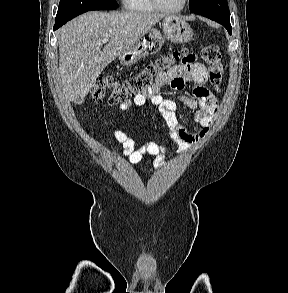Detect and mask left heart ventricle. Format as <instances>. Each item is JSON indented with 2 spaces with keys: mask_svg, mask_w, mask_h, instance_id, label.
I'll return each instance as SVG.
<instances>
[{
  "mask_svg": "<svg viewBox=\"0 0 288 293\" xmlns=\"http://www.w3.org/2000/svg\"><path fill=\"white\" fill-rule=\"evenodd\" d=\"M161 4L168 8H176L178 7L182 0H159Z\"/></svg>",
  "mask_w": 288,
  "mask_h": 293,
  "instance_id": "obj_1",
  "label": "left heart ventricle"
}]
</instances>
